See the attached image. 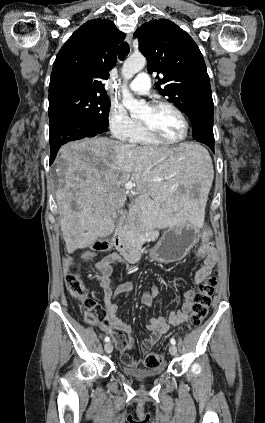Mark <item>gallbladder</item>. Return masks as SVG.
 Segmentation results:
<instances>
[{"instance_id": "1", "label": "gallbladder", "mask_w": 265, "mask_h": 423, "mask_svg": "<svg viewBox=\"0 0 265 423\" xmlns=\"http://www.w3.org/2000/svg\"><path fill=\"white\" fill-rule=\"evenodd\" d=\"M118 217H119V214H118V215H116L114 218H115V219H117Z\"/></svg>"}]
</instances>
